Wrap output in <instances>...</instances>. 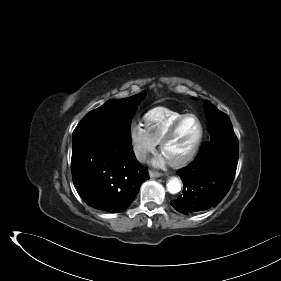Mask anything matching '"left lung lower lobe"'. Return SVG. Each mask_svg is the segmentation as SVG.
<instances>
[{
	"mask_svg": "<svg viewBox=\"0 0 281 281\" xmlns=\"http://www.w3.org/2000/svg\"><path fill=\"white\" fill-rule=\"evenodd\" d=\"M238 163V145L202 146L196 159L177 171L183 181L182 194L171 205L188 215L216 206L229 191Z\"/></svg>",
	"mask_w": 281,
	"mask_h": 281,
	"instance_id": "left-lung-lower-lobe-1",
	"label": "left lung lower lobe"
}]
</instances>
